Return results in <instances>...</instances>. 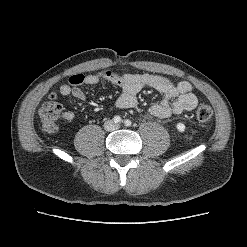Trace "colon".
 <instances>
[{
	"label": "colon",
	"mask_w": 247,
	"mask_h": 247,
	"mask_svg": "<svg viewBox=\"0 0 247 247\" xmlns=\"http://www.w3.org/2000/svg\"><path fill=\"white\" fill-rule=\"evenodd\" d=\"M61 114V106L55 94H51L46 102L39 109V118L47 131H54L57 128L56 121ZM212 108L207 104H200L196 109V118L200 122L211 119Z\"/></svg>",
	"instance_id": "1"
}]
</instances>
